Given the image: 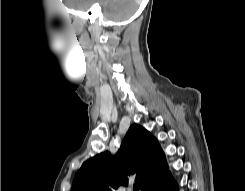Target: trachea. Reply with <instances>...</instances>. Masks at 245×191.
Instances as JSON below:
<instances>
[{"instance_id":"1","label":"trachea","mask_w":245,"mask_h":191,"mask_svg":"<svg viewBox=\"0 0 245 191\" xmlns=\"http://www.w3.org/2000/svg\"><path fill=\"white\" fill-rule=\"evenodd\" d=\"M139 189H140L139 183H135L134 184V191H139Z\"/></svg>"}]
</instances>
